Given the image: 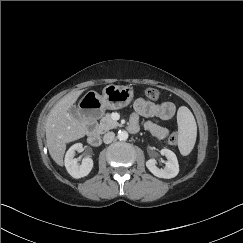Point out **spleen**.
<instances>
[{
  "label": "spleen",
  "mask_w": 243,
  "mask_h": 243,
  "mask_svg": "<svg viewBox=\"0 0 243 243\" xmlns=\"http://www.w3.org/2000/svg\"><path fill=\"white\" fill-rule=\"evenodd\" d=\"M178 148L183 156L190 154L194 148L197 136V125L192 112L181 106L177 112Z\"/></svg>",
  "instance_id": "obj_1"
}]
</instances>
